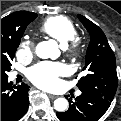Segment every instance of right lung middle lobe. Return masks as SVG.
I'll return each instance as SVG.
<instances>
[{
	"instance_id": "right-lung-middle-lobe-1",
	"label": "right lung middle lobe",
	"mask_w": 121,
	"mask_h": 121,
	"mask_svg": "<svg viewBox=\"0 0 121 121\" xmlns=\"http://www.w3.org/2000/svg\"><path fill=\"white\" fill-rule=\"evenodd\" d=\"M36 17L37 14L1 34V44H4L7 47V49H1V79L8 78L6 73L11 70V61L13 60L16 49L20 44L21 37L27 25Z\"/></svg>"
}]
</instances>
